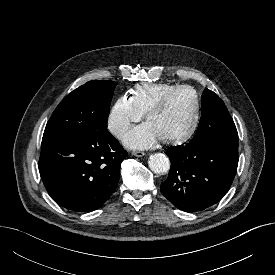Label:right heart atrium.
Segmentation results:
<instances>
[{
  "label": "right heart atrium",
  "mask_w": 275,
  "mask_h": 275,
  "mask_svg": "<svg viewBox=\"0 0 275 275\" xmlns=\"http://www.w3.org/2000/svg\"><path fill=\"white\" fill-rule=\"evenodd\" d=\"M142 117L143 115L136 109L130 97L120 96L110 109L107 120L108 129L116 138L121 139Z\"/></svg>",
  "instance_id": "obj_1"
}]
</instances>
